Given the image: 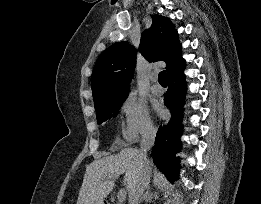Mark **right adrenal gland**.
<instances>
[{"label":"right adrenal gland","instance_id":"obj_1","mask_svg":"<svg viewBox=\"0 0 261 204\" xmlns=\"http://www.w3.org/2000/svg\"><path fill=\"white\" fill-rule=\"evenodd\" d=\"M153 196H155V195L151 192L150 187H147L146 191L142 194V196H141V198L139 200V204L142 201H152Z\"/></svg>","mask_w":261,"mask_h":204}]
</instances>
